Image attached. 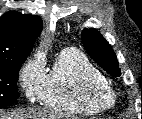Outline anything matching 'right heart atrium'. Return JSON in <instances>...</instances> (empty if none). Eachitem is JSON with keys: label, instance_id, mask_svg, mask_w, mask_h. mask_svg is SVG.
<instances>
[{"label": "right heart atrium", "instance_id": "obj_1", "mask_svg": "<svg viewBox=\"0 0 142 119\" xmlns=\"http://www.w3.org/2000/svg\"><path fill=\"white\" fill-rule=\"evenodd\" d=\"M44 77V58L36 54L27 60L18 77L19 86L29 101L34 102L40 99Z\"/></svg>", "mask_w": 142, "mask_h": 119}]
</instances>
